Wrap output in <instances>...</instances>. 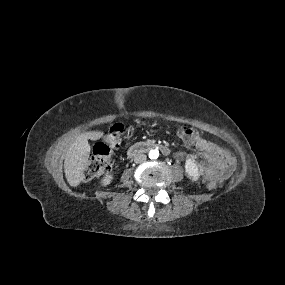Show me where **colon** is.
<instances>
[{"mask_svg":"<svg viewBox=\"0 0 285 285\" xmlns=\"http://www.w3.org/2000/svg\"><path fill=\"white\" fill-rule=\"evenodd\" d=\"M123 132V125L116 123L112 125L105 138L94 146L93 154L83 170V179L91 180L93 178L107 175L112 168L111 153L120 144V137ZM179 137L187 144H194L199 135L196 130L183 127L178 132ZM210 189L219 187L216 180H210L207 184Z\"/></svg>","mask_w":285,"mask_h":285,"instance_id":"colon-1","label":"colon"}]
</instances>
